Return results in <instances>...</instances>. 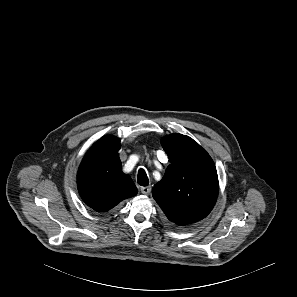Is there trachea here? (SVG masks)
I'll list each match as a JSON object with an SVG mask.
<instances>
[{
	"label": "trachea",
	"mask_w": 297,
	"mask_h": 297,
	"mask_svg": "<svg viewBox=\"0 0 297 297\" xmlns=\"http://www.w3.org/2000/svg\"><path fill=\"white\" fill-rule=\"evenodd\" d=\"M137 182L141 186H147L149 184L148 176L144 169L140 168L138 171Z\"/></svg>",
	"instance_id": "1"
}]
</instances>
